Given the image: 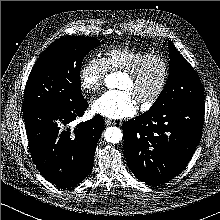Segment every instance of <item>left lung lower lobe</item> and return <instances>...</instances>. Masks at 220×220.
<instances>
[{"label":"left lung lower lobe","instance_id":"left-lung-lower-lobe-1","mask_svg":"<svg viewBox=\"0 0 220 220\" xmlns=\"http://www.w3.org/2000/svg\"><path fill=\"white\" fill-rule=\"evenodd\" d=\"M205 102L147 111L123 123L124 153L133 174L152 186L186 167L201 140Z\"/></svg>","mask_w":220,"mask_h":220}]
</instances>
